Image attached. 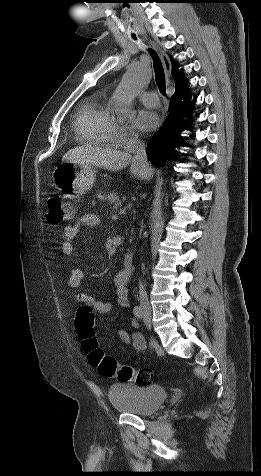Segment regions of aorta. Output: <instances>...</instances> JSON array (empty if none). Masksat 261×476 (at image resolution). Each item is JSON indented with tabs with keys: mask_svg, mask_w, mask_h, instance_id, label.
<instances>
[{
	"mask_svg": "<svg viewBox=\"0 0 261 476\" xmlns=\"http://www.w3.org/2000/svg\"><path fill=\"white\" fill-rule=\"evenodd\" d=\"M148 80L149 75L143 68L132 66L128 69L113 96V110L117 119L124 120L133 113L132 101L141 85Z\"/></svg>",
	"mask_w": 261,
	"mask_h": 476,
	"instance_id": "obj_1",
	"label": "aorta"
}]
</instances>
